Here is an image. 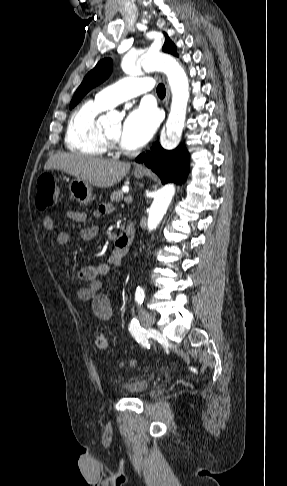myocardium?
<instances>
[{
    "mask_svg": "<svg viewBox=\"0 0 287 486\" xmlns=\"http://www.w3.org/2000/svg\"><path fill=\"white\" fill-rule=\"evenodd\" d=\"M102 134H103V138H104L106 144L108 145V147H112V148L118 147V141L110 138L105 132H102Z\"/></svg>",
    "mask_w": 287,
    "mask_h": 486,
    "instance_id": "myocardium-1",
    "label": "myocardium"
}]
</instances>
